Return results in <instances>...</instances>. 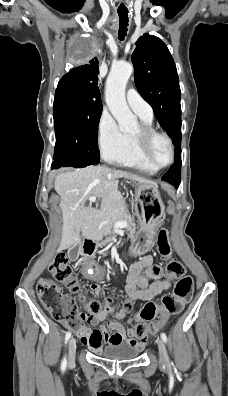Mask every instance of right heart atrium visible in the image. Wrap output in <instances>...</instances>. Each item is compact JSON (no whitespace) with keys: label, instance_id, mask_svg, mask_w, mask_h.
I'll use <instances>...</instances> for the list:
<instances>
[{"label":"right heart atrium","instance_id":"right-heart-atrium-1","mask_svg":"<svg viewBox=\"0 0 228 396\" xmlns=\"http://www.w3.org/2000/svg\"><path fill=\"white\" fill-rule=\"evenodd\" d=\"M97 141L103 157L108 161H115L127 147V136L107 110H103L98 119Z\"/></svg>","mask_w":228,"mask_h":396}]
</instances>
